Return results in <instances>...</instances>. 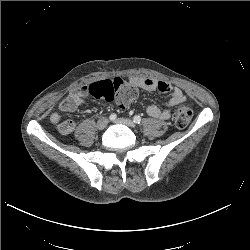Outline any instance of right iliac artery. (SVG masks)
Wrapping results in <instances>:
<instances>
[{"label":"right iliac artery","instance_id":"right-iliac-artery-1","mask_svg":"<svg viewBox=\"0 0 250 250\" xmlns=\"http://www.w3.org/2000/svg\"><path fill=\"white\" fill-rule=\"evenodd\" d=\"M109 119L111 120V121H113V120H115L116 119V114H111L110 116H109Z\"/></svg>","mask_w":250,"mask_h":250}]
</instances>
